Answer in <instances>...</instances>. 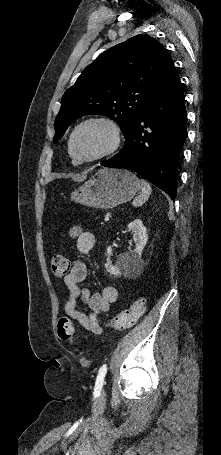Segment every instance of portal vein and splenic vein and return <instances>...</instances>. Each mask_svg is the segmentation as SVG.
I'll return each mask as SVG.
<instances>
[{
	"mask_svg": "<svg viewBox=\"0 0 221 455\" xmlns=\"http://www.w3.org/2000/svg\"><path fill=\"white\" fill-rule=\"evenodd\" d=\"M104 220H105L106 222L109 221V220H110V215L107 214V215L105 216Z\"/></svg>",
	"mask_w": 221,
	"mask_h": 455,
	"instance_id": "portal-vein-and-splenic-vein-1",
	"label": "portal vein and splenic vein"
}]
</instances>
